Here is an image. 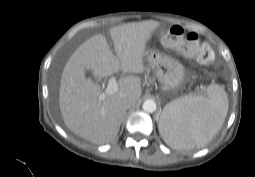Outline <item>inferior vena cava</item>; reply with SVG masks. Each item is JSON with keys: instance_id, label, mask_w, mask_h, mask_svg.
Instances as JSON below:
<instances>
[{"instance_id": "602c4592", "label": "inferior vena cava", "mask_w": 255, "mask_h": 177, "mask_svg": "<svg viewBox=\"0 0 255 177\" xmlns=\"http://www.w3.org/2000/svg\"><path fill=\"white\" fill-rule=\"evenodd\" d=\"M135 103H136V100L133 97H126L123 100L122 105L125 109H128L132 107Z\"/></svg>"}]
</instances>
